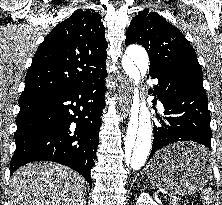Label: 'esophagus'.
Segmentation results:
<instances>
[{
    "label": "esophagus",
    "instance_id": "34e87169",
    "mask_svg": "<svg viewBox=\"0 0 222 205\" xmlns=\"http://www.w3.org/2000/svg\"><path fill=\"white\" fill-rule=\"evenodd\" d=\"M121 91V102H120V109L122 116L125 118L127 116V113L129 111V95H130V84L128 80H124L123 84L120 87Z\"/></svg>",
    "mask_w": 222,
    "mask_h": 205
}]
</instances>
